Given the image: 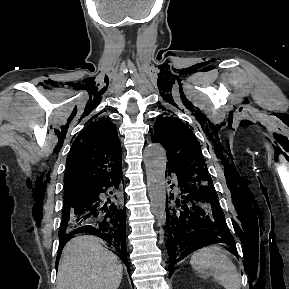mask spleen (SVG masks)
I'll list each match as a JSON object with an SVG mask.
<instances>
[{"mask_svg":"<svg viewBox=\"0 0 289 289\" xmlns=\"http://www.w3.org/2000/svg\"><path fill=\"white\" fill-rule=\"evenodd\" d=\"M190 264L203 278L212 276L224 289H240L241 280L227 251L218 245L201 248L193 253Z\"/></svg>","mask_w":289,"mask_h":289,"instance_id":"3e777b00","label":"spleen"}]
</instances>
